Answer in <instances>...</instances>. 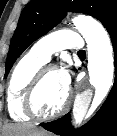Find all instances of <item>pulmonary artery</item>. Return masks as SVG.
Segmentation results:
<instances>
[{
    "mask_svg": "<svg viewBox=\"0 0 117 136\" xmlns=\"http://www.w3.org/2000/svg\"><path fill=\"white\" fill-rule=\"evenodd\" d=\"M82 47L83 41L79 33L63 29L50 33L36 41L31 48V52L47 62L55 52L64 49L81 50Z\"/></svg>",
    "mask_w": 117,
    "mask_h": 136,
    "instance_id": "e3ab8cb5",
    "label": "pulmonary artery"
}]
</instances>
